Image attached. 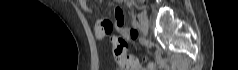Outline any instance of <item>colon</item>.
Listing matches in <instances>:
<instances>
[{
  "label": "colon",
  "instance_id": "obj_1",
  "mask_svg": "<svg viewBox=\"0 0 238 70\" xmlns=\"http://www.w3.org/2000/svg\"><path fill=\"white\" fill-rule=\"evenodd\" d=\"M120 27L122 25H119ZM137 36L136 31H131L130 33H121V36H118L117 33H114L111 36V44L113 47L114 56L118 64L125 70H136L138 67V61L134 56L127 55V44L130 41H134V38Z\"/></svg>",
  "mask_w": 238,
  "mask_h": 70
}]
</instances>
